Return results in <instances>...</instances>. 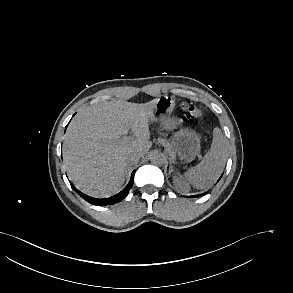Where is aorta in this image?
Masks as SVG:
<instances>
[{
    "label": "aorta",
    "mask_w": 293,
    "mask_h": 293,
    "mask_svg": "<svg viewBox=\"0 0 293 293\" xmlns=\"http://www.w3.org/2000/svg\"><path fill=\"white\" fill-rule=\"evenodd\" d=\"M166 158L162 153H154L151 157V162L155 165H163Z\"/></svg>",
    "instance_id": "aorta-1"
}]
</instances>
